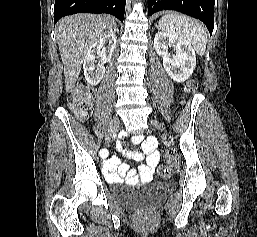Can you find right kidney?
<instances>
[{
    "instance_id": "obj_1",
    "label": "right kidney",
    "mask_w": 257,
    "mask_h": 237,
    "mask_svg": "<svg viewBox=\"0 0 257 237\" xmlns=\"http://www.w3.org/2000/svg\"><path fill=\"white\" fill-rule=\"evenodd\" d=\"M116 41V35L114 33H111L96 41L88 49L83 62L84 76L88 84L95 86L99 84L104 77V64L111 60ZM96 54L101 57V63L98 64L95 68L94 63Z\"/></svg>"
}]
</instances>
